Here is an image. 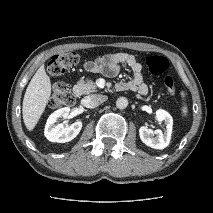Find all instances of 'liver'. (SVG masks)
I'll return each mask as SVG.
<instances>
[{
    "mask_svg": "<svg viewBox=\"0 0 213 213\" xmlns=\"http://www.w3.org/2000/svg\"><path fill=\"white\" fill-rule=\"evenodd\" d=\"M51 95L50 78L41 65L32 77L23 99L22 114L26 128L32 131L38 123Z\"/></svg>",
    "mask_w": 213,
    "mask_h": 213,
    "instance_id": "6515ba94",
    "label": "liver"
}]
</instances>
